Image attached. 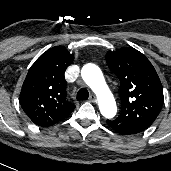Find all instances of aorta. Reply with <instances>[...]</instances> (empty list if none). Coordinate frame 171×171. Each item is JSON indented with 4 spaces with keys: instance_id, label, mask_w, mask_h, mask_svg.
Wrapping results in <instances>:
<instances>
[{
    "instance_id": "obj_1",
    "label": "aorta",
    "mask_w": 171,
    "mask_h": 171,
    "mask_svg": "<svg viewBox=\"0 0 171 171\" xmlns=\"http://www.w3.org/2000/svg\"><path fill=\"white\" fill-rule=\"evenodd\" d=\"M81 75L85 83L96 94L101 114L106 118H112L117 112V106L102 71L95 64L83 66Z\"/></svg>"
}]
</instances>
